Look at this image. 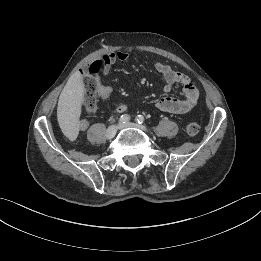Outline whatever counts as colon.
<instances>
[{"label":"colon","instance_id":"5ec220e1","mask_svg":"<svg viewBox=\"0 0 261 261\" xmlns=\"http://www.w3.org/2000/svg\"><path fill=\"white\" fill-rule=\"evenodd\" d=\"M101 66L102 64L100 61H95L85 73L86 79L84 83L85 95L83 100V111L86 115L93 113L97 105L99 96V83L96 75L101 69ZM84 121L86 120L83 119L81 123ZM199 131L200 126L197 122H189L186 126V132L191 137L196 136Z\"/></svg>","mask_w":261,"mask_h":261}]
</instances>
